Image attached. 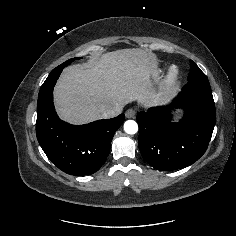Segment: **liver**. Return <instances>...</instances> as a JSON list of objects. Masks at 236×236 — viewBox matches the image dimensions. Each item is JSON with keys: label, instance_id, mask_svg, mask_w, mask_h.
<instances>
[{"label": "liver", "instance_id": "obj_1", "mask_svg": "<svg viewBox=\"0 0 236 236\" xmlns=\"http://www.w3.org/2000/svg\"><path fill=\"white\" fill-rule=\"evenodd\" d=\"M155 68L154 55L140 49L105 53L86 64L65 68L54 91L56 111L69 123L83 124L134 100L157 103L160 94L149 88Z\"/></svg>", "mask_w": 236, "mask_h": 236}]
</instances>
